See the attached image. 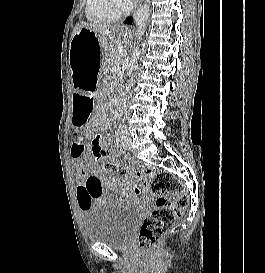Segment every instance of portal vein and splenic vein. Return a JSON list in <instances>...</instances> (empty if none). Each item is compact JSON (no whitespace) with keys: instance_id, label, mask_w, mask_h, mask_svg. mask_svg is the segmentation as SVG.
I'll list each match as a JSON object with an SVG mask.
<instances>
[{"instance_id":"portal-vein-and-splenic-vein-1","label":"portal vein and splenic vein","mask_w":265,"mask_h":273,"mask_svg":"<svg viewBox=\"0 0 265 273\" xmlns=\"http://www.w3.org/2000/svg\"><path fill=\"white\" fill-rule=\"evenodd\" d=\"M119 70V66H114L112 67L111 71H118Z\"/></svg>"}]
</instances>
